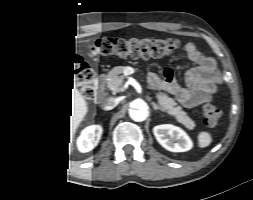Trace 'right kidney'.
<instances>
[{"label":"right kidney","instance_id":"right-kidney-1","mask_svg":"<svg viewBox=\"0 0 253 200\" xmlns=\"http://www.w3.org/2000/svg\"><path fill=\"white\" fill-rule=\"evenodd\" d=\"M102 135V128L98 125L84 129L77 141V147L81 152H89L94 149Z\"/></svg>","mask_w":253,"mask_h":200}]
</instances>
